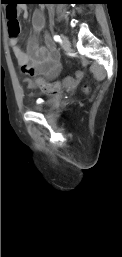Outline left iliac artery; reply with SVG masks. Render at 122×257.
Returning a JSON list of instances; mask_svg holds the SVG:
<instances>
[{"label":"left iliac artery","instance_id":"left-iliac-artery-1","mask_svg":"<svg viewBox=\"0 0 122 257\" xmlns=\"http://www.w3.org/2000/svg\"><path fill=\"white\" fill-rule=\"evenodd\" d=\"M54 40L56 41V42H60L61 41V37L59 36V35H54Z\"/></svg>","mask_w":122,"mask_h":257}]
</instances>
